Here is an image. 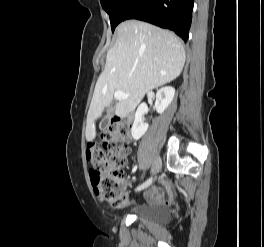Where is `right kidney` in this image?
<instances>
[{
    "label": "right kidney",
    "instance_id": "right-kidney-1",
    "mask_svg": "<svg viewBox=\"0 0 264 247\" xmlns=\"http://www.w3.org/2000/svg\"><path fill=\"white\" fill-rule=\"evenodd\" d=\"M175 95V89L173 87L167 86L159 89L156 93L155 108L157 113L162 114L165 109L171 104ZM147 110V105L145 103L141 104L136 113L135 120L131 129V134L133 139H140L147 131L149 125L143 122V115Z\"/></svg>",
    "mask_w": 264,
    "mask_h": 247
}]
</instances>
